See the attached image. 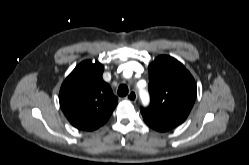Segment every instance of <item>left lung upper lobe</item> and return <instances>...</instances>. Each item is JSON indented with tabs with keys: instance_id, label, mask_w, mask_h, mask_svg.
<instances>
[{
	"instance_id": "obj_1",
	"label": "left lung upper lobe",
	"mask_w": 249,
	"mask_h": 165,
	"mask_svg": "<svg viewBox=\"0 0 249 165\" xmlns=\"http://www.w3.org/2000/svg\"><path fill=\"white\" fill-rule=\"evenodd\" d=\"M150 105L141 108L144 120L176 127L189 115L197 95L194 78L176 59L161 55L149 65Z\"/></svg>"
}]
</instances>
